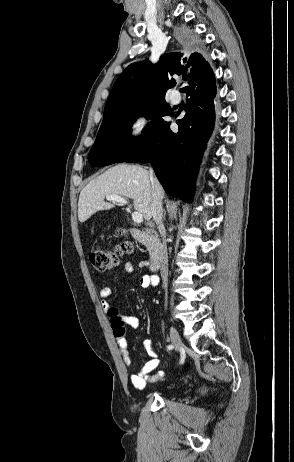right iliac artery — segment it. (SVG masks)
Wrapping results in <instances>:
<instances>
[{
	"instance_id": "1",
	"label": "right iliac artery",
	"mask_w": 294,
	"mask_h": 462,
	"mask_svg": "<svg viewBox=\"0 0 294 462\" xmlns=\"http://www.w3.org/2000/svg\"><path fill=\"white\" fill-rule=\"evenodd\" d=\"M168 349L169 350L173 349V345H168Z\"/></svg>"
}]
</instances>
